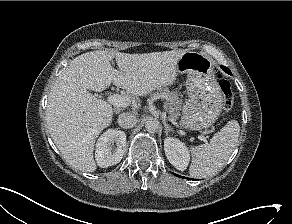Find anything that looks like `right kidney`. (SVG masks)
I'll use <instances>...</instances> for the list:
<instances>
[{"instance_id": "obj_1", "label": "right kidney", "mask_w": 292, "mask_h": 224, "mask_svg": "<svg viewBox=\"0 0 292 224\" xmlns=\"http://www.w3.org/2000/svg\"><path fill=\"white\" fill-rule=\"evenodd\" d=\"M117 148L112 151L111 143ZM126 134L120 130L108 129L96 143L95 160L99 167L107 168L121 161L125 153Z\"/></svg>"}]
</instances>
